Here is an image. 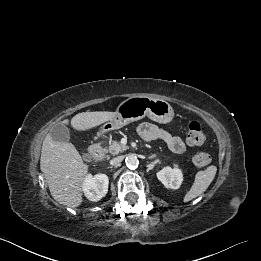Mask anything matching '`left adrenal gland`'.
<instances>
[{"instance_id": "1", "label": "left adrenal gland", "mask_w": 261, "mask_h": 261, "mask_svg": "<svg viewBox=\"0 0 261 261\" xmlns=\"http://www.w3.org/2000/svg\"><path fill=\"white\" fill-rule=\"evenodd\" d=\"M157 155L156 154H153V155H151L150 157H149V159H153V158H155Z\"/></svg>"}]
</instances>
